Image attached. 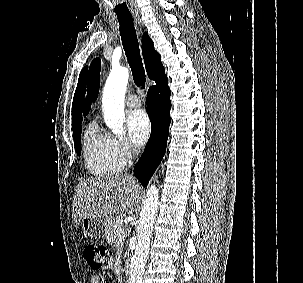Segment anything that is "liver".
<instances>
[{
    "mask_svg": "<svg viewBox=\"0 0 303 283\" xmlns=\"http://www.w3.org/2000/svg\"><path fill=\"white\" fill-rule=\"evenodd\" d=\"M141 187L128 174L94 177L81 181L74 194L75 225L85 217H106L123 212L132 214Z\"/></svg>",
    "mask_w": 303,
    "mask_h": 283,
    "instance_id": "6515ba94",
    "label": "liver"
}]
</instances>
